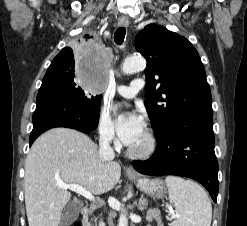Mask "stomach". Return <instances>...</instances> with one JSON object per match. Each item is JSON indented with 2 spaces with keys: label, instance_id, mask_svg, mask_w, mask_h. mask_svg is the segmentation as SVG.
<instances>
[{
  "label": "stomach",
  "instance_id": "1",
  "mask_svg": "<svg viewBox=\"0 0 247 226\" xmlns=\"http://www.w3.org/2000/svg\"><path fill=\"white\" fill-rule=\"evenodd\" d=\"M129 178L141 191L154 198H163L166 195L167 188L160 179L133 178L130 176Z\"/></svg>",
  "mask_w": 247,
  "mask_h": 226
}]
</instances>
